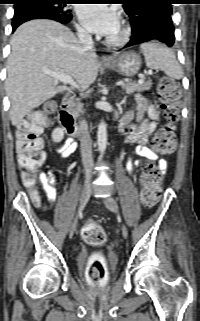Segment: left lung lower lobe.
<instances>
[{
	"instance_id": "left-lung-lower-lobe-1",
	"label": "left lung lower lobe",
	"mask_w": 200,
	"mask_h": 321,
	"mask_svg": "<svg viewBox=\"0 0 200 321\" xmlns=\"http://www.w3.org/2000/svg\"><path fill=\"white\" fill-rule=\"evenodd\" d=\"M132 36L125 47L147 41H157L173 46L174 26L171 14L162 10H151L130 17Z\"/></svg>"
}]
</instances>
